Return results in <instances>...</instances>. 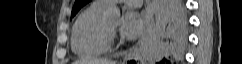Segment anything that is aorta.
Segmentation results:
<instances>
[{
    "label": "aorta",
    "instance_id": "obj_1",
    "mask_svg": "<svg viewBox=\"0 0 242 64\" xmlns=\"http://www.w3.org/2000/svg\"><path fill=\"white\" fill-rule=\"evenodd\" d=\"M107 17L114 21L119 23L121 21V13L120 9L117 6H112L107 10Z\"/></svg>",
    "mask_w": 242,
    "mask_h": 64
}]
</instances>
